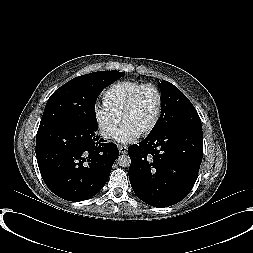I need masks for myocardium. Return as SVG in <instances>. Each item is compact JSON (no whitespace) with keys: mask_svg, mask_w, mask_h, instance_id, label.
<instances>
[{"mask_svg":"<svg viewBox=\"0 0 253 253\" xmlns=\"http://www.w3.org/2000/svg\"><path fill=\"white\" fill-rule=\"evenodd\" d=\"M147 89H152L155 91V93L157 94L158 97V107H157V111L156 114L154 116L153 121L151 122V124L144 129L143 131L139 132L140 136H145L150 134L158 125L162 112H163V104H164V99H163V94L161 92V90L154 84H144L142 86H140L138 89H136L131 96L128 98V100L126 101L121 114H120V119L123 122L125 116L127 115V113L133 108V106L135 105L137 99L139 98L140 94Z\"/></svg>","mask_w":253,"mask_h":253,"instance_id":"1","label":"myocardium"}]
</instances>
